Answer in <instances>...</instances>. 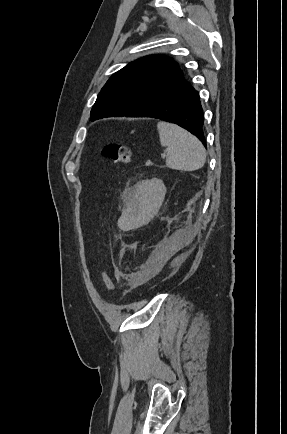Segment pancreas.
<instances>
[{
    "instance_id": "1",
    "label": "pancreas",
    "mask_w": 287,
    "mask_h": 434,
    "mask_svg": "<svg viewBox=\"0 0 287 434\" xmlns=\"http://www.w3.org/2000/svg\"><path fill=\"white\" fill-rule=\"evenodd\" d=\"M147 165H150L151 164V162L150 161H148L147 163H146Z\"/></svg>"
}]
</instances>
